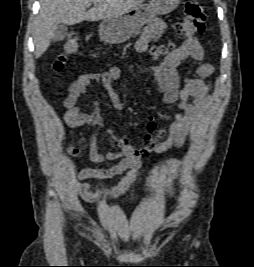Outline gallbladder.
<instances>
[{
	"label": "gallbladder",
	"mask_w": 254,
	"mask_h": 267,
	"mask_svg": "<svg viewBox=\"0 0 254 267\" xmlns=\"http://www.w3.org/2000/svg\"><path fill=\"white\" fill-rule=\"evenodd\" d=\"M68 34V28L65 25H59L54 31L52 41L58 42L63 40Z\"/></svg>",
	"instance_id": "1"
}]
</instances>
